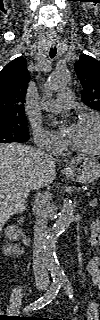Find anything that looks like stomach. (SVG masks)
Wrapping results in <instances>:
<instances>
[{"instance_id":"stomach-1","label":"stomach","mask_w":100,"mask_h":320,"mask_svg":"<svg viewBox=\"0 0 100 320\" xmlns=\"http://www.w3.org/2000/svg\"><path fill=\"white\" fill-rule=\"evenodd\" d=\"M66 176L77 183L87 184L100 177V162L91 157H80L66 166Z\"/></svg>"}]
</instances>
